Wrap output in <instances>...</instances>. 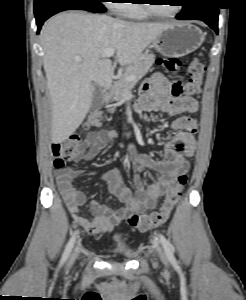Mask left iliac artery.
<instances>
[{
	"label": "left iliac artery",
	"instance_id": "obj_1",
	"mask_svg": "<svg viewBox=\"0 0 246 300\" xmlns=\"http://www.w3.org/2000/svg\"><path fill=\"white\" fill-rule=\"evenodd\" d=\"M159 237H160V242L166 252V255L168 257V259L170 260V262L172 264H176L177 261L174 257V254H173V249H172V245L170 244V242L162 235V234H159Z\"/></svg>",
	"mask_w": 246,
	"mask_h": 300
}]
</instances>
